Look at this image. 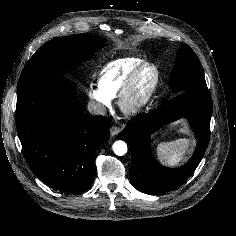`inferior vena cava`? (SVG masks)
Here are the masks:
<instances>
[{
	"label": "inferior vena cava",
	"instance_id": "602c4592",
	"mask_svg": "<svg viewBox=\"0 0 236 236\" xmlns=\"http://www.w3.org/2000/svg\"><path fill=\"white\" fill-rule=\"evenodd\" d=\"M88 111L92 115H105L106 114V108L104 107V105L96 101L88 102Z\"/></svg>",
	"mask_w": 236,
	"mask_h": 236
}]
</instances>
